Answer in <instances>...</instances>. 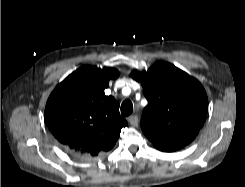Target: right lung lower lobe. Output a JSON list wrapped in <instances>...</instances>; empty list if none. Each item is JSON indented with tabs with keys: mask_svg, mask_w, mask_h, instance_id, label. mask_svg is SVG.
Masks as SVG:
<instances>
[{
	"mask_svg": "<svg viewBox=\"0 0 245 187\" xmlns=\"http://www.w3.org/2000/svg\"><path fill=\"white\" fill-rule=\"evenodd\" d=\"M66 149H67V148H66ZM68 150H69V149H68ZM69 152L72 153L73 155L79 157V158H88L87 156H83V155H81V154H79V153H76V152H73V151H71V150H69Z\"/></svg>",
	"mask_w": 245,
	"mask_h": 187,
	"instance_id": "right-lung-lower-lobe-1",
	"label": "right lung lower lobe"
}]
</instances>
